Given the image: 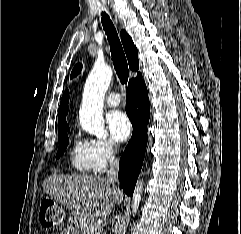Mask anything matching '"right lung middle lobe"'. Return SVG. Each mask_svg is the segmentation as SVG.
Returning <instances> with one entry per match:
<instances>
[{
  "label": "right lung middle lobe",
  "instance_id": "right-lung-middle-lobe-1",
  "mask_svg": "<svg viewBox=\"0 0 241 234\" xmlns=\"http://www.w3.org/2000/svg\"><path fill=\"white\" fill-rule=\"evenodd\" d=\"M66 131H69V127L58 131L59 148H58V152L56 154V158H60V156L66 150L67 145L69 143V138L67 136Z\"/></svg>",
  "mask_w": 241,
  "mask_h": 234
}]
</instances>
